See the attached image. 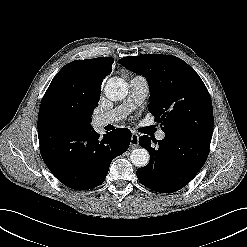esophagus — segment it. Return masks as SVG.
Listing matches in <instances>:
<instances>
[{"instance_id":"1","label":"esophagus","mask_w":247,"mask_h":247,"mask_svg":"<svg viewBox=\"0 0 247 247\" xmlns=\"http://www.w3.org/2000/svg\"><path fill=\"white\" fill-rule=\"evenodd\" d=\"M139 137L135 132H132L130 146L132 149L138 147Z\"/></svg>"}]
</instances>
